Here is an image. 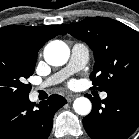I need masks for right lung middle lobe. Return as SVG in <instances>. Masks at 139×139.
I'll return each instance as SVG.
<instances>
[{"label": "right lung middle lobe", "instance_id": "dd1d6c3e", "mask_svg": "<svg viewBox=\"0 0 139 139\" xmlns=\"http://www.w3.org/2000/svg\"><path fill=\"white\" fill-rule=\"evenodd\" d=\"M36 56L10 45H0V98H26L31 86Z\"/></svg>", "mask_w": 139, "mask_h": 139}]
</instances>
